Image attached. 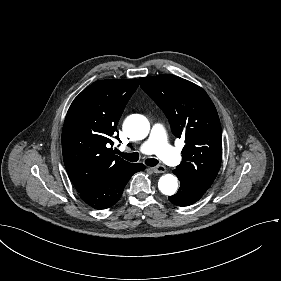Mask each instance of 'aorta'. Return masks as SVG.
<instances>
[{
	"mask_svg": "<svg viewBox=\"0 0 281 281\" xmlns=\"http://www.w3.org/2000/svg\"><path fill=\"white\" fill-rule=\"evenodd\" d=\"M124 130L135 139H144L150 131L149 121L142 115H133L124 123ZM158 188L164 195H174L178 188V179L172 174H165L160 177Z\"/></svg>",
	"mask_w": 281,
	"mask_h": 281,
	"instance_id": "1",
	"label": "aorta"
}]
</instances>
